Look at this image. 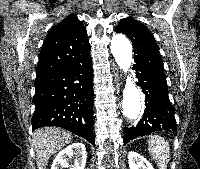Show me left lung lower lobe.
Segmentation results:
<instances>
[{"label":"left lung lower lobe","mask_w":200,"mask_h":169,"mask_svg":"<svg viewBox=\"0 0 200 169\" xmlns=\"http://www.w3.org/2000/svg\"><path fill=\"white\" fill-rule=\"evenodd\" d=\"M133 67L139 80L138 85L145 94L146 108L135 127L124 128V143L158 130L176 134L174 107L168 97L165 75L148 65L135 64Z\"/></svg>","instance_id":"0a47b994"}]
</instances>
